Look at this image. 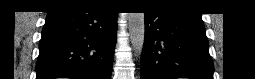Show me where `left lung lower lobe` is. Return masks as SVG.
Masks as SVG:
<instances>
[{
  "label": "left lung lower lobe",
  "mask_w": 255,
  "mask_h": 79,
  "mask_svg": "<svg viewBox=\"0 0 255 79\" xmlns=\"http://www.w3.org/2000/svg\"><path fill=\"white\" fill-rule=\"evenodd\" d=\"M145 13L141 79H213L201 14L159 6Z\"/></svg>",
  "instance_id": "0a47b994"
}]
</instances>
